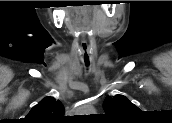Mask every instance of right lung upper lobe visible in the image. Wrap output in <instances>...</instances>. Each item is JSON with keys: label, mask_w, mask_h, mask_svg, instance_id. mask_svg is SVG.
Segmentation results:
<instances>
[{"label": "right lung upper lobe", "mask_w": 172, "mask_h": 123, "mask_svg": "<svg viewBox=\"0 0 172 123\" xmlns=\"http://www.w3.org/2000/svg\"><path fill=\"white\" fill-rule=\"evenodd\" d=\"M64 119V107L53 97H45L24 118L27 123H59Z\"/></svg>", "instance_id": "obj_1"}]
</instances>
